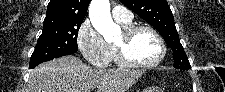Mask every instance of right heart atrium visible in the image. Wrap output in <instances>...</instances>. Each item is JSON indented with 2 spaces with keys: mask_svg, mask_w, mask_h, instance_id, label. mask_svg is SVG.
I'll list each match as a JSON object with an SVG mask.
<instances>
[{
  "mask_svg": "<svg viewBox=\"0 0 225 92\" xmlns=\"http://www.w3.org/2000/svg\"><path fill=\"white\" fill-rule=\"evenodd\" d=\"M77 45L91 65L103 68L110 64V44L104 40L89 19H85L78 29Z\"/></svg>",
  "mask_w": 225,
  "mask_h": 92,
  "instance_id": "1",
  "label": "right heart atrium"
}]
</instances>
